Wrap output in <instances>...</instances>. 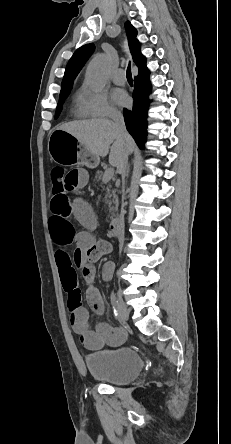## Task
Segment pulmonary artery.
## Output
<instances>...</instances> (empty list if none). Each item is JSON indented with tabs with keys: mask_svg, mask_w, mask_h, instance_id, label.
I'll return each mask as SVG.
<instances>
[{
	"mask_svg": "<svg viewBox=\"0 0 231 444\" xmlns=\"http://www.w3.org/2000/svg\"><path fill=\"white\" fill-rule=\"evenodd\" d=\"M112 81L116 84V85H124L126 82V75H125V71L122 69H119L117 71H115L112 75Z\"/></svg>",
	"mask_w": 231,
	"mask_h": 444,
	"instance_id": "1",
	"label": "pulmonary artery"
}]
</instances>
